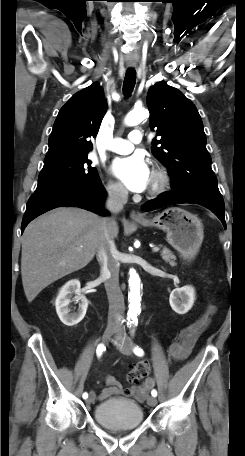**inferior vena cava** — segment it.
I'll return each mask as SVG.
<instances>
[{"label": "inferior vena cava", "mask_w": 245, "mask_h": 456, "mask_svg": "<svg viewBox=\"0 0 245 456\" xmlns=\"http://www.w3.org/2000/svg\"><path fill=\"white\" fill-rule=\"evenodd\" d=\"M106 208L112 215L119 213L128 200V190L123 185L108 188ZM114 217L101 219L100 239L97 248V260L101 265V276L105 279V289L109 300L108 326L121 328L124 312V297L119 287V263L117 249L112 237Z\"/></svg>", "instance_id": "602c4592"}]
</instances>
